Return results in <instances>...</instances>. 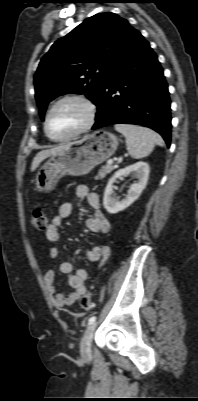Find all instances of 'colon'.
Returning a JSON list of instances; mask_svg holds the SVG:
<instances>
[{
	"mask_svg": "<svg viewBox=\"0 0 198 401\" xmlns=\"http://www.w3.org/2000/svg\"><path fill=\"white\" fill-rule=\"evenodd\" d=\"M31 225L37 229H46L48 226V215L46 211L41 207H36L31 213ZM81 307L84 310H90L93 305V293L88 292L80 300Z\"/></svg>",
	"mask_w": 198,
	"mask_h": 401,
	"instance_id": "1",
	"label": "colon"
}]
</instances>
